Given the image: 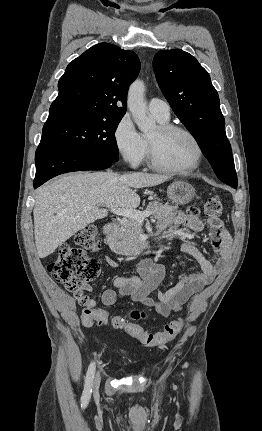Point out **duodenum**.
Segmentation results:
<instances>
[{
	"mask_svg": "<svg viewBox=\"0 0 262 431\" xmlns=\"http://www.w3.org/2000/svg\"><path fill=\"white\" fill-rule=\"evenodd\" d=\"M118 226L114 223H107L103 226V234L112 240L116 239Z\"/></svg>",
	"mask_w": 262,
	"mask_h": 431,
	"instance_id": "1",
	"label": "duodenum"
}]
</instances>
